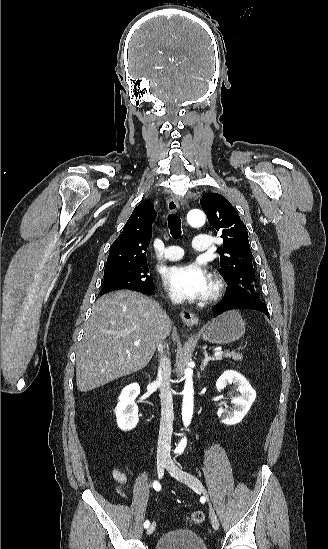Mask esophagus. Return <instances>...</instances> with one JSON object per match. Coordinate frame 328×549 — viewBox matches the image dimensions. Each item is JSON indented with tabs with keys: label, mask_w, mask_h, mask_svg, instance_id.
Returning <instances> with one entry per match:
<instances>
[{
	"label": "esophagus",
	"mask_w": 328,
	"mask_h": 549,
	"mask_svg": "<svg viewBox=\"0 0 328 549\" xmlns=\"http://www.w3.org/2000/svg\"><path fill=\"white\" fill-rule=\"evenodd\" d=\"M167 210L169 213H175L179 208V201L176 197H170L167 202ZM180 317L188 327L197 325L199 322L198 317L189 310H183L180 313Z\"/></svg>",
	"instance_id": "34e87169"
}]
</instances>
